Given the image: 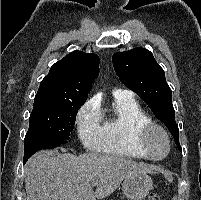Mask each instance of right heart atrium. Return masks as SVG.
I'll return each mask as SVG.
<instances>
[{"mask_svg": "<svg viewBox=\"0 0 201 200\" xmlns=\"http://www.w3.org/2000/svg\"><path fill=\"white\" fill-rule=\"evenodd\" d=\"M78 136L89 149H97L100 139L99 110L92 102H87L76 118Z\"/></svg>", "mask_w": 201, "mask_h": 200, "instance_id": "1", "label": "right heart atrium"}]
</instances>
